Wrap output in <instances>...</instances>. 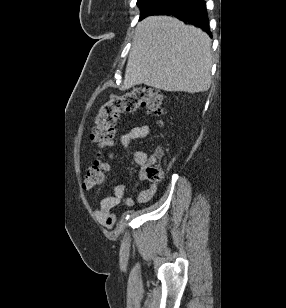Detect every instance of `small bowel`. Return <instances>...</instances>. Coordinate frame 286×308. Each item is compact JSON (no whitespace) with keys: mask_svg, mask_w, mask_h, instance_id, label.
<instances>
[{"mask_svg":"<svg viewBox=\"0 0 286 308\" xmlns=\"http://www.w3.org/2000/svg\"><path fill=\"white\" fill-rule=\"evenodd\" d=\"M150 134V128L148 125H138L124 131L119 138V148L121 150H127L131 147L133 142L137 139L147 138ZM135 162L143 166L146 162V153L137 150L134 153ZM139 179L145 181L146 177L144 172H139ZM157 190L156 184H151L148 188L142 190L136 199L127 198L126 204L133 206L135 204H144L149 202ZM125 197V185L117 184L113 189V194L103 199L99 205V208L95 211V217L98 221L102 222L105 226L111 227L116 221V214L112 211L113 207L117 205Z\"/></svg>","mask_w":286,"mask_h":308,"instance_id":"c3829d8e","label":"small bowel"}]
</instances>
